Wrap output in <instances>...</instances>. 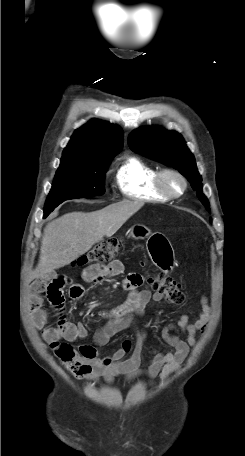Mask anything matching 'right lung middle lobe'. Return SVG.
Masks as SVG:
<instances>
[{
  "mask_svg": "<svg viewBox=\"0 0 245 456\" xmlns=\"http://www.w3.org/2000/svg\"><path fill=\"white\" fill-rule=\"evenodd\" d=\"M112 158L61 163L46 200L44 214H50L69 199L103 195L105 171Z\"/></svg>",
  "mask_w": 245,
  "mask_h": 456,
  "instance_id": "right-lung-middle-lobe-1",
  "label": "right lung middle lobe"
}]
</instances>
